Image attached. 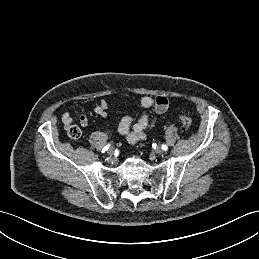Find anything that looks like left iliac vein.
<instances>
[{
  "label": "left iliac vein",
  "mask_w": 259,
  "mask_h": 259,
  "mask_svg": "<svg viewBox=\"0 0 259 259\" xmlns=\"http://www.w3.org/2000/svg\"><path fill=\"white\" fill-rule=\"evenodd\" d=\"M163 149L161 148V147H157L156 149H155V153L157 154V155H161V154H163Z\"/></svg>",
  "instance_id": "obj_1"
}]
</instances>
